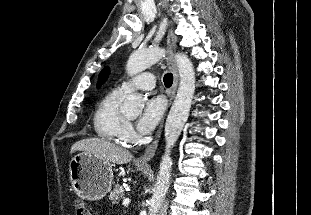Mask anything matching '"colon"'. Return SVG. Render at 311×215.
<instances>
[{
  "instance_id": "colon-1",
  "label": "colon",
  "mask_w": 311,
  "mask_h": 215,
  "mask_svg": "<svg viewBox=\"0 0 311 215\" xmlns=\"http://www.w3.org/2000/svg\"><path fill=\"white\" fill-rule=\"evenodd\" d=\"M75 215H92V214L90 210L82 202H76Z\"/></svg>"
}]
</instances>
